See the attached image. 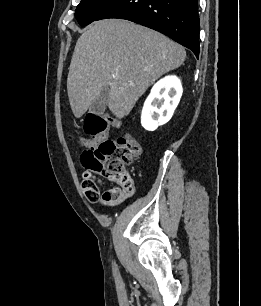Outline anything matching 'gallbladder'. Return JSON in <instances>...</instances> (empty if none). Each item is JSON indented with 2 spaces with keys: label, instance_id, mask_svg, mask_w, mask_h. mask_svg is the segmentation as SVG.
<instances>
[{
  "label": "gallbladder",
  "instance_id": "1",
  "mask_svg": "<svg viewBox=\"0 0 261 306\" xmlns=\"http://www.w3.org/2000/svg\"><path fill=\"white\" fill-rule=\"evenodd\" d=\"M109 100V88L105 87L90 105L89 111L95 115H102Z\"/></svg>",
  "mask_w": 261,
  "mask_h": 306
}]
</instances>
